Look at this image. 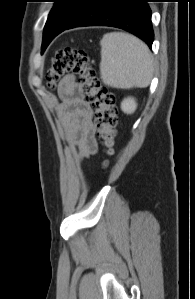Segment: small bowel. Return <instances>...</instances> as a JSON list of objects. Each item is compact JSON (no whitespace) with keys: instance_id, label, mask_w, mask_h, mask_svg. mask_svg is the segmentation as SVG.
Listing matches in <instances>:
<instances>
[{"instance_id":"small-bowel-1","label":"small bowel","mask_w":195,"mask_h":299,"mask_svg":"<svg viewBox=\"0 0 195 299\" xmlns=\"http://www.w3.org/2000/svg\"><path fill=\"white\" fill-rule=\"evenodd\" d=\"M59 92L64 98V121L69 139L77 146L79 158L97 152L96 126L92 121L93 111L84 99L80 83L75 76L68 75L59 83Z\"/></svg>"}]
</instances>
